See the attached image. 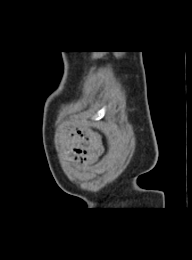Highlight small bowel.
Wrapping results in <instances>:
<instances>
[{
    "label": "small bowel",
    "instance_id": "1",
    "mask_svg": "<svg viewBox=\"0 0 192 260\" xmlns=\"http://www.w3.org/2000/svg\"><path fill=\"white\" fill-rule=\"evenodd\" d=\"M69 146L74 161L81 165L94 161L103 151L99 136L81 125L71 129Z\"/></svg>",
    "mask_w": 192,
    "mask_h": 260
}]
</instances>
